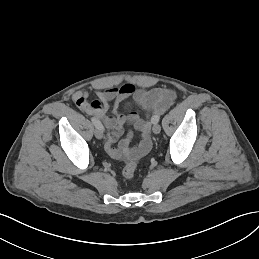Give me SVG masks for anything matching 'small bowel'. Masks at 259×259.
<instances>
[{
    "label": "small bowel",
    "instance_id": "small-bowel-1",
    "mask_svg": "<svg viewBox=\"0 0 259 259\" xmlns=\"http://www.w3.org/2000/svg\"><path fill=\"white\" fill-rule=\"evenodd\" d=\"M96 96L97 99L90 102L88 92L80 90L75 92L72 98L82 112L101 120L110 131L105 143V150L114 159H135L145 155L151 148L152 118L165 112L175 99V93L170 89H136L130 83L120 87H96ZM132 103L146 111L147 116L141 118L138 113L128 111ZM110 108H112L113 115L107 114ZM126 123L132 124L134 129L140 133L139 142L134 147L130 145L133 138L132 132L119 141ZM118 141V146H115Z\"/></svg>",
    "mask_w": 259,
    "mask_h": 259
}]
</instances>
